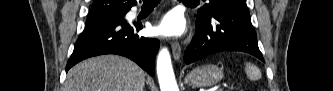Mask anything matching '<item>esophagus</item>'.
<instances>
[{
    "label": "esophagus",
    "mask_w": 333,
    "mask_h": 91,
    "mask_svg": "<svg viewBox=\"0 0 333 91\" xmlns=\"http://www.w3.org/2000/svg\"><path fill=\"white\" fill-rule=\"evenodd\" d=\"M172 53H173V57L175 60H179L181 57V47L180 44L178 42H173L172 43Z\"/></svg>",
    "instance_id": "1"
}]
</instances>
